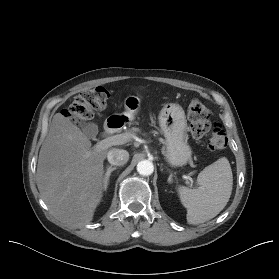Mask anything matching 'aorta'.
I'll return each instance as SVG.
<instances>
[{
	"mask_svg": "<svg viewBox=\"0 0 279 279\" xmlns=\"http://www.w3.org/2000/svg\"><path fill=\"white\" fill-rule=\"evenodd\" d=\"M137 171L143 176L151 175L154 171L153 163L149 160L140 161L137 164Z\"/></svg>",
	"mask_w": 279,
	"mask_h": 279,
	"instance_id": "aorta-1",
	"label": "aorta"
}]
</instances>
